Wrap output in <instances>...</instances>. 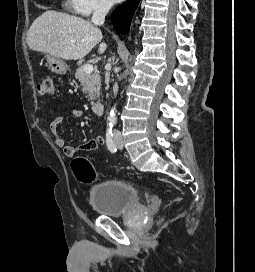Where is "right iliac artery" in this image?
<instances>
[{
  "label": "right iliac artery",
  "instance_id": "82829eb1",
  "mask_svg": "<svg viewBox=\"0 0 255 272\" xmlns=\"http://www.w3.org/2000/svg\"><path fill=\"white\" fill-rule=\"evenodd\" d=\"M106 144L111 153H115L117 151V148L115 146V143L113 141V133L111 129L107 130L106 133Z\"/></svg>",
  "mask_w": 255,
  "mask_h": 272
}]
</instances>
